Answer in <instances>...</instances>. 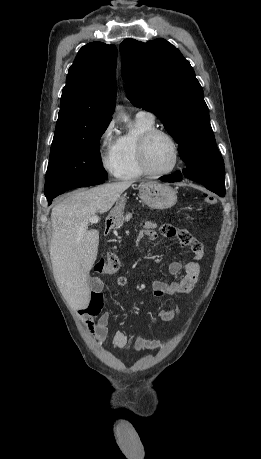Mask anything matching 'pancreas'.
Wrapping results in <instances>:
<instances>
[{
  "mask_svg": "<svg viewBox=\"0 0 261 459\" xmlns=\"http://www.w3.org/2000/svg\"><path fill=\"white\" fill-rule=\"evenodd\" d=\"M143 227L145 229H155L157 227V224L147 221V222H145V225Z\"/></svg>",
  "mask_w": 261,
  "mask_h": 459,
  "instance_id": "1",
  "label": "pancreas"
}]
</instances>
